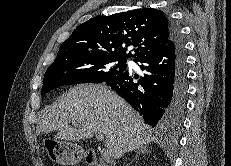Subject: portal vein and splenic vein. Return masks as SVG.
<instances>
[{"label":"portal vein and splenic vein","instance_id":"obj_1","mask_svg":"<svg viewBox=\"0 0 231 166\" xmlns=\"http://www.w3.org/2000/svg\"><path fill=\"white\" fill-rule=\"evenodd\" d=\"M96 138L100 141L104 140V136L102 133H96ZM101 155H102V158L104 159V161H109L110 160V157H111V153L109 151L108 148H104L102 151H101Z\"/></svg>","mask_w":231,"mask_h":166}]
</instances>
